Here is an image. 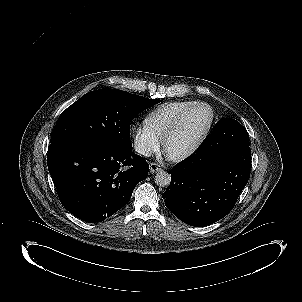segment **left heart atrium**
<instances>
[{"mask_svg": "<svg viewBox=\"0 0 302 302\" xmlns=\"http://www.w3.org/2000/svg\"><path fill=\"white\" fill-rule=\"evenodd\" d=\"M162 155L171 161H177L179 158L178 154L169 147L165 148V150L162 152Z\"/></svg>", "mask_w": 302, "mask_h": 302, "instance_id": "39dd6f15", "label": "left heart atrium"}]
</instances>
